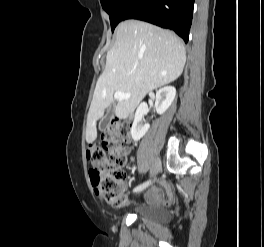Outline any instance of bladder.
<instances>
[{
	"label": "bladder",
	"mask_w": 264,
	"mask_h": 247,
	"mask_svg": "<svg viewBox=\"0 0 264 247\" xmlns=\"http://www.w3.org/2000/svg\"><path fill=\"white\" fill-rule=\"evenodd\" d=\"M137 216L152 223H166L171 218V213L163 207L142 206L137 208Z\"/></svg>",
	"instance_id": "obj_1"
}]
</instances>
